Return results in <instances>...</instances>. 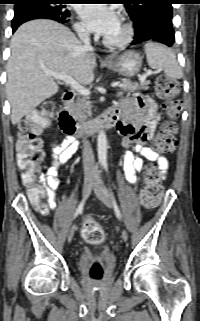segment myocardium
Here are the masks:
<instances>
[{"label": "myocardium", "mask_w": 200, "mask_h": 321, "mask_svg": "<svg viewBox=\"0 0 200 321\" xmlns=\"http://www.w3.org/2000/svg\"><path fill=\"white\" fill-rule=\"evenodd\" d=\"M124 28V37L119 41H110L106 37L103 38V44L109 49H122L131 43L134 37L133 25L127 21L122 20L121 22Z\"/></svg>", "instance_id": "1"}]
</instances>
